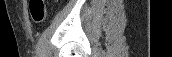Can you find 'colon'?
Listing matches in <instances>:
<instances>
[{
    "label": "colon",
    "mask_w": 172,
    "mask_h": 57,
    "mask_svg": "<svg viewBox=\"0 0 172 57\" xmlns=\"http://www.w3.org/2000/svg\"><path fill=\"white\" fill-rule=\"evenodd\" d=\"M30 14L35 23H41L46 18V7L43 0H30Z\"/></svg>",
    "instance_id": "5ec220e1"
}]
</instances>
